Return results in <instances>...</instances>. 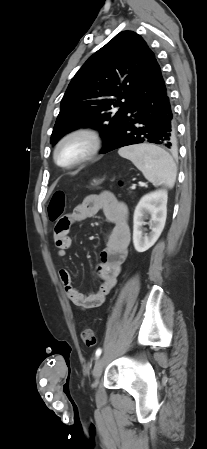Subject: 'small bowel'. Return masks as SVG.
Wrapping results in <instances>:
<instances>
[{"instance_id": "c3829d8e", "label": "small bowel", "mask_w": 207, "mask_h": 449, "mask_svg": "<svg viewBox=\"0 0 207 449\" xmlns=\"http://www.w3.org/2000/svg\"><path fill=\"white\" fill-rule=\"evenodd\" d=\"M103 212L112 228L108 233L106 245L101 255V263L97 272L101 284L95 291L83 293L73 284L71 275L66 269L59 271V278L66 296L73 305L81 310H91L100 306L114 288L120 274L122 264L127 258L130 244V229L126 206L109 192L100 195L87 196L72 212L63 217L58 223V230L54 232L57 256L67 257V251L73 242L69 236L71 226Z\"/></svg>"}]
</instances>
